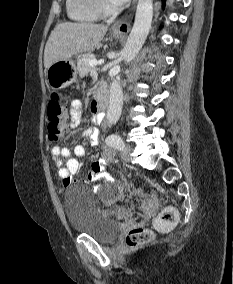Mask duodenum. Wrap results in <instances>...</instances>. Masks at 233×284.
Wrapping results in <instances>:
<instances>
[{"instance_id": "1", "label": "duodenum", "mask_w": 233, "mask_h": 284, "mask_svg": "<svg viewBox=\"0 0 233 284\" xmlns=\"http://www.w3.org/2000/svg\"><path fill=\"white\" fill-rule=\"evenodd\" d=\"M97 107L103 111L108 105V97L104 92H99L96 98Z\"/></svg>"}]
</instances>
